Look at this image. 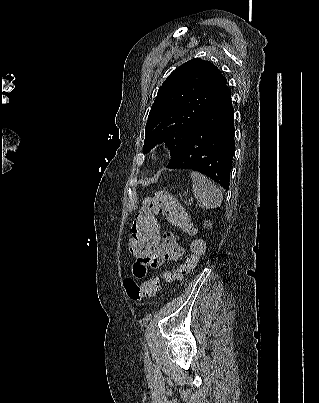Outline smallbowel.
I'll use <instances>...</instances> for the list:
<instances>
[{"instance_id": "small-bowel-1", "label": "small bowel", "mask_w": 319, "mask_h": 403, "mask_svg": "<svg viewBox=\"0 0 319 403\" xmlns=\"http://www.w3.org/2000/svg\"><path fill=\"white\" fill-rule=\"evenodd\" d=\"M184 254V248L177 242L175 236L170 232H166L163 234L159 246L153 247L150 258L147 253H143L137 259V265L129 266L128 280L130 283H138L150 269H156L167 261L178 263L184 257ZM175 276L178 279L182 277L181 274Z\"/></svg>"}]
</instances>
